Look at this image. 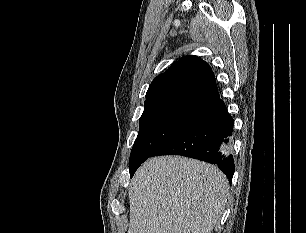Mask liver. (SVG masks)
I'll return each mask as SVG.
<instances>
[{"label": "liver", "instance_id": "6515ba94", "mask_svg": "<svg viewBox=\"0 0 306 233\" xmlns=\"http://www.w3.org/2000/svg\"><path fill=\"white\" fill-rule=\"evenodd\" d=\"M229 196L214 165L180 156L150 158L129 188L128 233H211Z\"/></svg>", "mask_w": 306, "mask_h": 233}]
</instances>
